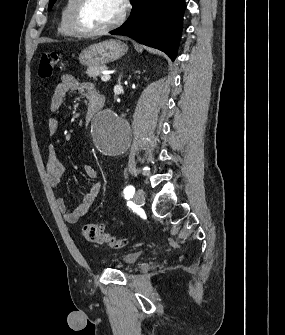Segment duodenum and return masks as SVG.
<instances>
[{
	"label": "duodenum",
	"mask_w": 285,
	"mask_h": 335,
	"mask_svg": "<svg viewBox=\"0 0 285 335\" xmlns=\"http://www.w3.org/2000/svg\"><path fill=\"white\" fill-rule=\"evenodd\" d=\"M102 105H103V99H97L90 102L85 115L86 123H89L95 117V115L101 109Z\"/></svg>",
	"instance_id": "410a0bca"
}]
</instances>
